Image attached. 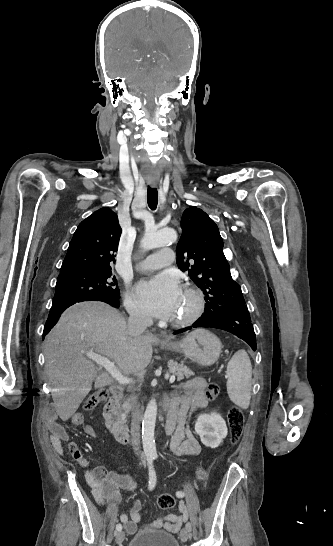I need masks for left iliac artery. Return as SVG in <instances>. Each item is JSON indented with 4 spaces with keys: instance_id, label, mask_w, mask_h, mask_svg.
Instances as JSON below:
<instances>
[{
    "instance_id": "left-iliac-artery-1",
    "label": "left iliac artery",
    "mask_w": 333,
    "mask_h": 546,
    "mask_svg": "<svg viewBox=\"0 0 333 546\" xmlns=\"http://www.w3.org/2000/svg\"><path fill=\"white\" fill-rule=\"evenodd\" d=\"M176 496H177V497H183V496H184V493L181 492V491H178V492H176Z\"/></svg>"
}]
</instances>
